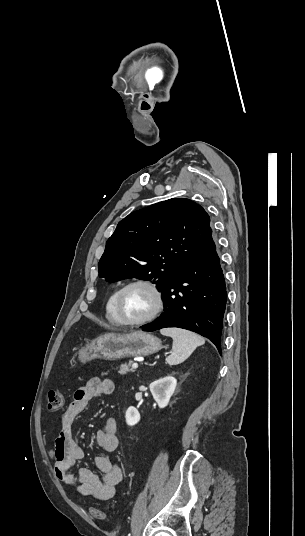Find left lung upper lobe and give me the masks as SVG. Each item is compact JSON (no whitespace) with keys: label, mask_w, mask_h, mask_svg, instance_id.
I'll return each mask as SVG.
<instances>
[{"label":"left lung upper lobe","mask_w":305,"mask_h":536,"mask_svg":"<svg viewBox=\"0 0 305 536\" xmlns=\"http://www.w3.org/2000/svg\"><path fill=\"white\" fill-rule=\"evenodd\" d=\"M211 238L210 217L192 200L153 204L118 223L98 263L99 277L153 280L163 290Z\"/></svg>","instance_id":"obj_1"}]
</instances>
